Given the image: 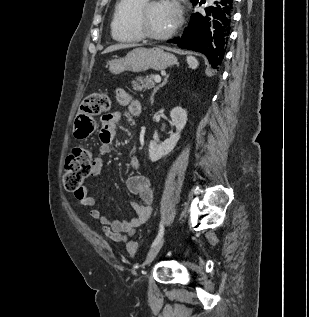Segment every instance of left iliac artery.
<instances>
[{"instance_id": "44dca946", "label": "left iliac artery", "mask_w": 309, "mask_h": 317, "mask_svg": "<svg viewBox=\"0 0 309 317\" xmlns=\"http://www.w3.org/2000/svg\"><path fill=\"white\" fill-rule=\"evenodd\" d=\"M163 235H164V225H163V222L161 221L160 226H159L158 235L155 238V240L153 241L152 246L155 245L157 242H159L161 240V238L163 237Z\"/></svg>"}]
</instances>
